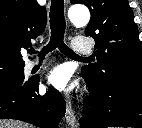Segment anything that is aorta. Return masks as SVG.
Listing matches in <instances>:
<instances>
[{
    "mask_svg": "<svg viewBox=\"0 0 142 128\" xmlns=\"http://www.w3.org/2000/svg\"><path fill=\"white\" fill-rule=\"evenodd\" d=\"M68 17L76 27H84L89 23L90 12L84 6H76L69 10Z\"/></svg>",
    "mask_w": 142,
    "mask_h": 128,
    "instance_id": "1",
    "label": "aorta"
}]
</instances>
